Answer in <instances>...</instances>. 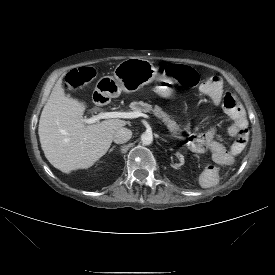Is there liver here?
Segmentation results:
<instances>
[{
	"label": "liver",
	"instance_id": "6515ba94",
	"mask_svg": "<svg viewBox=\"0 0 275 275\" xmlns=\"http://www.w3.org/2000/svg\"><path fill=\"white\" fill-rule=\"evenodd\" d=\"M85 109L83 102L65 94L60 77L42 110L38 134L45 157L63 173L92 166L106 154L114 133L127 123L107 119L84 125Z\"/></svg>",
	"mask_w": 275,
	"mask_h": 275
}]
</instances>
